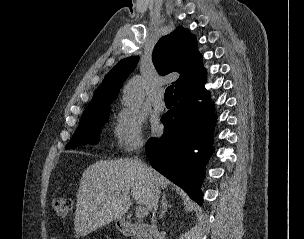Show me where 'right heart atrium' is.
Returning a JSON list of instances; mask_svg holds the SVG:
<instances>
[{
    "label": "right heart atrium",
    "mask_w": 304,
    "mask_h": 239,
    "mask_svg": "<svg viewBox=\"0 0 304 239\" xmlns=\"http://www.w3.org/2000/svg\"><path fill=\"white\" fill-rule=\"evenodd\" d=\"M114 145L123 151H132L143 144V118L134 110L121 108L112 126Z\"/></svg>",
    "instance_id": "right-heart-atrium-1"
}]
</instances>
